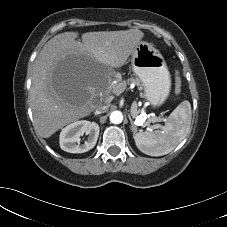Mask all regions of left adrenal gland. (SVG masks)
Wrapping results in <instances>:
<instances>
[{"label": "left adrenal gland", "mask_w": 227, "mask_h": 227, "mask_svg": "<svg viewBox=\"0 0 227 227\" xmlns=\"http://www.w3.org/2000/svg\"><path fill=\"white\" fill-rule=\"evenodd\" d=\"M128 117H129V120H130V124H131V129H132V131H133V132H136L137 128H136V126L134 125V122H133V120H132V118H131V115L129 114Z\"/></svg>", "instance_id": "obj_1"}]
</instances>
